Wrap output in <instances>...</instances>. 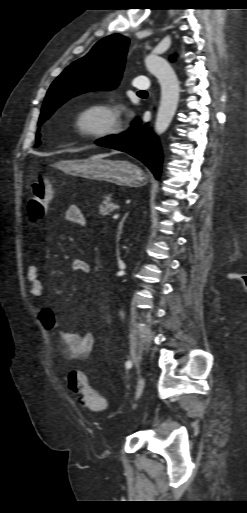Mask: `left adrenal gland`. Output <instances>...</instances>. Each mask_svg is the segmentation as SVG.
<instances>
[{"label":"left adrenal gland","instance_id":"obj_1","mask_svg":"<svg viewBox=\"0 0 247 513\" xmlns=\"http://www.w3.org/2000/svg\"><path fill=\"white\" fill-rule=\"evenodd\" d=\"M128 216V213H126L123 218L121 219V221L119 222V225H118V231H117V236L120 238L121 234H122V229H123V224L126 220Z\"/></svg>","mask_w":247,"mask_h":513}]
</instances>
